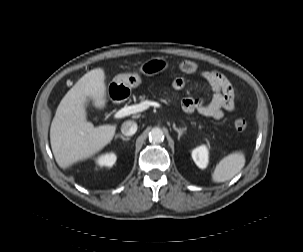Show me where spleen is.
I'll return each mask as SVG.
<instances>
[{
	"label": "spleen",
	"instance_id": "3e777b00",
	"mask_svg": "<svg viewBox=\"0 0 303 252\" xmlns=\"http://www.w3.org/2000/svg\"><path fill=\"white\" fill-rule=\"evenodd\" d=\"M244 165V154L241 151L233 152L219 161L212 173V180L216 183L228 181L238 174Z\"/></svg>",
	"mask_w": 303,
	"mask_h": 252
}]
</instances>
